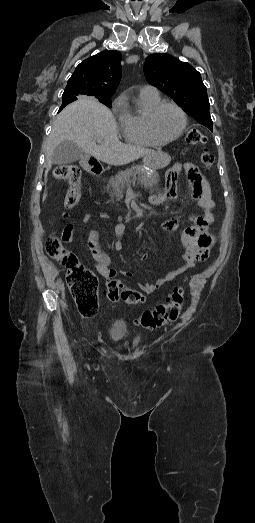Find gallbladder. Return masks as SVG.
<instances>
[{"mask_svg":"<svg viewBox=\"0 0 255 523\" xmlns=\"http://www.w3.org/2000/svg\"><path fill=\"white\" fill-rule=\"evenodd\" d=\"M88 154H85L75 142H61L53 150L52 162L53 164H59V166H66V164H72L77 160H88Z\"/></svg>","mask_w":255,"mask_h":523,"instance_id":"1","label":"gallbladder"}]
</instances>
